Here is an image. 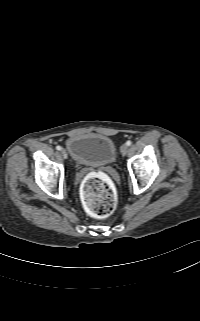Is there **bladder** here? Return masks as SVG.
<instances>
[{
	"mask_svg": "<svg viewBox=\"0 0 200 321\" xmlns=\"http://www.w3.org/2000/svg\"><path fill=\"white\" fill-rule=\"evenodd\" d=\"M66 149L71 158L80 165H107L116 158L115 143L102 134L74 135L67 140Z\"/></svg>",
	"mask_w": 200,
	"mask_h": 321,
	"instance_id": "bladder-1",
	"label": "bladder"
}]
</instances>
